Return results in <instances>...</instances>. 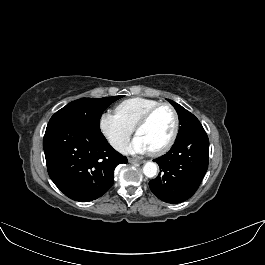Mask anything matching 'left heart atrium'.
Returning a JSON list of instances; mask_svg holds the SVG:
<instances>
[{
    "mask_svg": "<svg viewBox=\"0 0 265 265\" xmlns=\"http://www.w3.org/2000/svg\"><path fill=\"white\" fill-rule=\"evenodd\" d=\"M126 151L130 153H145L149 151V148L139 136H136L128 144V146L126 147Z\"/></svg>",
    "mask_w": 265,
    "mask_h": 265,
    "instance_id": "obj_1",
    "label": "left heart atrium"
}]
</instances>
